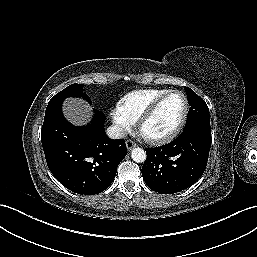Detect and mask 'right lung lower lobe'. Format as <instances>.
<instances>
[{"instance_id":"right-lung-lower-lobe-1","label":"right lung lower lobe","mask_w":257,"mask_h":257,"mask_svg":"<svg viewBox=\"0 0 257 257\" xmlns=\"http://www.w3.org/2000/svg\"><path fill=\"white\" fill-rule=\"evenodd\" d=\"M62 100L50 101L41 130L49 170L67 189L84 195L98 194L113 182L127 154L123 139L105 134V115L94 110L90 124L73 126L63 116Z\"/></svg>"}]
</instances>
